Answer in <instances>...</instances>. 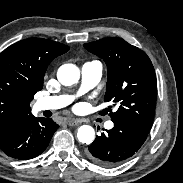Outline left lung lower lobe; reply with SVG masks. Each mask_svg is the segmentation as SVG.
Instances as JSON below:
<instances>
[{"label":"left lung lower lobe","mask_w":183,"mask_h":183,"mask_svg":"<svg viewBox=\"0 0 183 183\" xmlns=\"http://www.w3.org/2000/svg\"><path fill=\"white\" fill-rule=\"evenodd\" d=\"M113 122V129L97 136L86 151L91 161L104 167L115 166L133 156L150 131L127 120Z\"/></svg>","instance_id":"1"}]
</instances>
